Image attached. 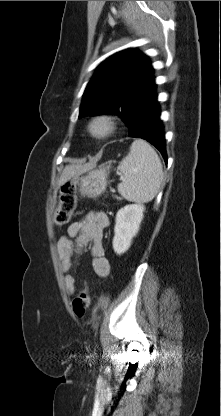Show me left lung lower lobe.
I'll return each mask as SVG.
<instances>
[{
    "mask_svg": "<svg viewBox=\"0 0 221 416\" xmlns=\"http://www.w3.org/2000/svg\"><path fill=\"white\" fill-rule=\"evenodd\" d=\"M160 106L155 89L136 108L129 125V137L145 139L155 146L167 163L164 126L160 119Z\"/></svg>",
    "mask_w": 221,
    "mask_h": 416,
    "instance_id": "0a47b994",
    "label": "left lung lower lobe"
}]
</instances>
